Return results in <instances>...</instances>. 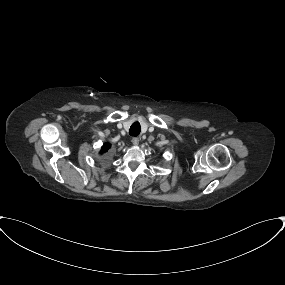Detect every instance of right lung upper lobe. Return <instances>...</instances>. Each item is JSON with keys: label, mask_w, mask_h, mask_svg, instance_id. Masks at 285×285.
<instances>
[{"label": "right lung upper lobe", "mask_w": 285, "mask_h": 285, "mask_svg": "<svg viewBox=\"0 0 285 285\" xmlns=\"http://www.w3.org/2000/svg\"><path fill=\"white\" fill-rule=\"evenodd\" d=\"M109 147H110V144H109V143H105V144L102 146L101 152H102V153L106 152Z\"/></svg>", "instance_id": "right-lung-upper-lobe-1"}]
</instances>
